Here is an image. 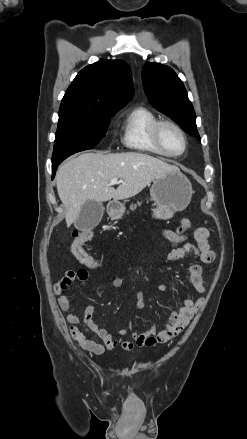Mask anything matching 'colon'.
<instances>
[{"label": "colon", "mask_w": 247, "mask_h": 439, "mask_svg": "<svg viewBox=\"0 0 247 439\" xmlns=\"http://www.w3.org/2000/svg\"><path fill=\"white\" fill-rule=\"evenodd\" d=\"M191 226L189 219H182L179 223L178 232L184 233ZM93 238V232L88 229L75 230L72 234L71 252L76 259L87 268L96 269L99 264L91 256L83 246ZM80 280L87 278V271L85 269H78L75 273Z\"/></svg>", "instance_id": "1"}]
</instances>
